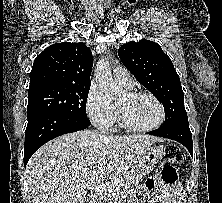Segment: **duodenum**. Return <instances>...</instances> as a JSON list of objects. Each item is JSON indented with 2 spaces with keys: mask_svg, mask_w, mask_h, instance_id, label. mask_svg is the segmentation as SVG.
<instances>
[{
  "mask_svg": "<svg viewBox=\"0 0 222 203\" xmlns=\"http://www.w3.org/2000/svg\"><path fill=\"white\" fill-rule=\"evenodd\" d=\"M88 203H97V196L95 194H92L89 198Z\"/></svg>",
  "mask_w": 222,
  "mask_h": 203,
  "instance_id": "410a0bca",
  "label": "duodenum"
}]
</instances>
